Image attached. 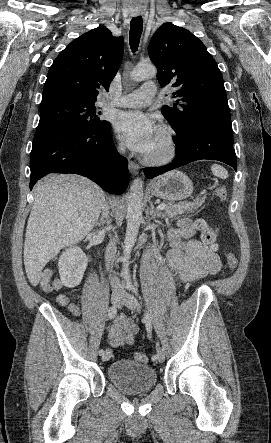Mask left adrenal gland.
<instances>
[{
	"mask_svg": "<svg viewBox=\"0 0 271 443\" xmlns=\"http://www.w3.org/2000/svg\"><path fill=\"white\" fill-rule=\"evenodd\" d=\"M150 206H151L150 216H152V218H156V216H157V218H161V216H162L161 212H156V210H154V206H153L152 202H150Z\"/></svg>",
	"mask_w": 271,
	"mask_h": 443,
	"instance_id": "1",
	"label": "left adrenal gland"
}]
</instances>
